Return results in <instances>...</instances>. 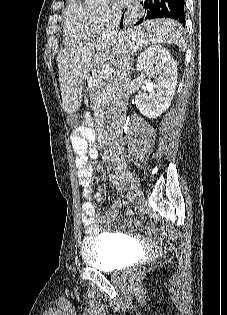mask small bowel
<instances>
[{"label": "small bowel", "instance_id": "1", "mask_svg": "<svg viewBox=\"0 0 227 315\" xmlns=\"http://www.w3.org/2000/svg\"><path fill=\"white\" fill-rule=\"evenodd\" d=\"M70 142L75 155L78 181L84 188L83 195L87 199L82 205V227L86 234L96 235L100 232V224L95 207L91 202V187L93 171L92 163L98 158V149L96 146V134L89 126L88 121L71 133ZM121 208L122 203L115 200L112 203L111 208L106 212V218L109 220L114 219ZM139 225L142 226V223Z\"/></svg>", "mask_w": 227, "mask_h": 315}]
</instances>
